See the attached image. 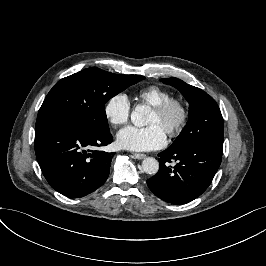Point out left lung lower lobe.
<instances>
[{
	"instance_id": "1",
	"label": "left lung lower lobe",
	"mask_w": 266,
	"mask_h": 266,
	"mask_svg": "<svg viewBox=\"0 0 266 266\" xmlns=\"http://www.w3.org/2000/svg\"><path fill=\"white\" fill-rule=\"evenodd\" d=\"M223 143L198 141L180 149L168 148L158 154L160 169L147 180L160 199L182 205L200 196L210 185L222 159ZM177 164L170 168L168 163Z\"/></svg>"
}]
</instances>
